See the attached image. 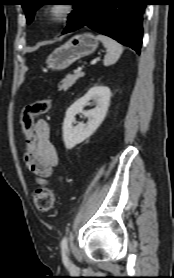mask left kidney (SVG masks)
<instances>
[{"label":"left kidney","instance_id":"left-kidney-1","mask_svg":"<svg viewBox=\"0 0 174 278\" xmlns=\"http://www.w3.org/2000/svg\"><path fill=\"white\" fill-rule=\"evenodd\" d=\"M111 97V91L105 86L92 87L83 97L75 101L66 111L63 123V141L67 149H72L89 138L104 120ZM94 100L97 103L96 108L84 111V106ZM82 113L88 118L86 124L79 123L73 126L75 115Z\"/></svg>","mask_w":174,"mask_h":278}]
</instances>
